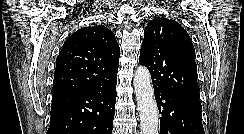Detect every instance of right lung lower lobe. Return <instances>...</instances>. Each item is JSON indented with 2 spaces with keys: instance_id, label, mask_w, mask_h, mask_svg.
I'll list each match as a JSON object with an SVG mask.
<instances>
[{
  "instance_id": "obj_1",
  "label": "right lung lower lobe",
  "mask_w": 244,
  "mask_h": 134,
  "mask_svg": "<svg viewBox=\"0 0 244 134\" xmlns=\"http://www.w3.org/2000/svg\"><path fill=\"white\" fill-rule=\"evenodd\" d=\"M116 84L117 77L96 89L53 97L47 134H111Z\"/></svg>"
}]
</instances>
